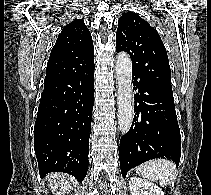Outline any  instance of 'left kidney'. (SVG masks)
Listing matches in <instances>:
<instances>
[{
	"mask_svg": "<svg viewBox=\"0 0 211 195\" xmlns=\"http://www.w3.org/2000/svg\"><path fill=\"white\" fill-rule=\"evenodd\" d=\"M129 188L132 195H165L159 186L136 176L130 178Z\"/></svg>",
	"mask_w": 211,
	"mask_h": 195,
	"instance_id": "left-kidney-1",
	"label": "left kidney"
}]
</instances>
